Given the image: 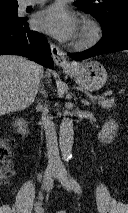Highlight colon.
<instances>
[{
    "label": "colon",
    "instance_id": "obj_1",
    "mask_svg": "<svg viewBox=\"0 0 128 213\" xmlns=\"http://www.w3.org/2000/svg\"><path fill=\"white\" fill-rule=\"evenodd\" d=\"M14 141L10 138H5L0 141V182L8 180L12 174L13 169L11 165L12 161V147ZM56 213H67L64 210H60Z\"/></svg>",
    "mask_w": 128,
    "mask_h": 213
}]
</instances>
